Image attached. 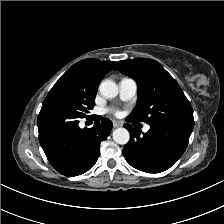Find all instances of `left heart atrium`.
Here are the masks:
<instances>
[{"label":"left heart atrium","instance_id":"obj_1","mask_svg":"<svg viewBox=\"0 0 224 224\" xmlns=\"http://www.w3.org/2000/svg\"><path fill=\"white\" fill-rule=\"evenodd\" d=\"M112 113H114L116 116H120V111H118V110H115V109H111L110 110Z\"/></svg>","mask_w":224,"mask_h":224}]
</instances>
